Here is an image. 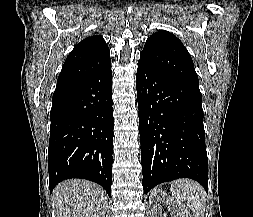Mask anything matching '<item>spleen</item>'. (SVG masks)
<instances>
[{"label":"spleen","instance_id":"3e777b00","mask_svg":"<svg viewBox=\"0 0 253 217\" xmlns=\"http://www.w3.org/2000/svg\"><path fill=\"white\" fill-rule=\"evenodd\" d=\"M171 193L179 204H187L194 217H204L206 193L203 187L193 180L179 179L171 184Z\"/></svg>","mask_w":253,"mask_h":217}]
</instances>
